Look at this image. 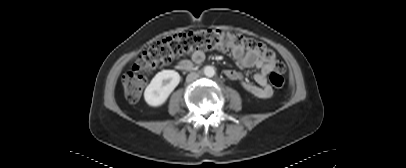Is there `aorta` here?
I'll return each mask as SVG.
<instances>
[{
  "label": "aorta",
  "mask_w": 406,
  "mask_h": 168,
  "mask_svg": "<svg viewBox=\"0 0 406 168\" xmlns=\"http://www.w3.org/2000/svg\"><path fill=\"white\" fill-rule=\"evenodd\" d=\"M203 72L207 77H213L215 75V70L212 66H205Z\"/></svg>",
  "instance_id": "1"
}]
</instances>
